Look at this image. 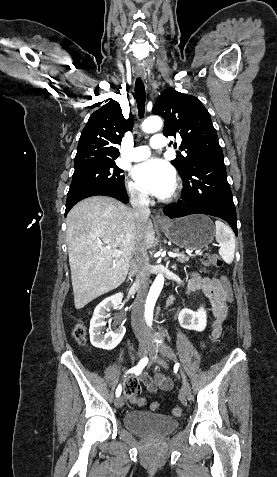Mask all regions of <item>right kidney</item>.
<instances>
[{"label": "right kidney", "instance_id": "ca27d5eb", "mask_svg": "<svg viewBox=\"0 0 277 477\" xmlns=\"http://www.w3.org/2000/svg\"><path fill=\"white\" fill-rule=\"evenodd\" d=\"M123 298L122 293H117L106 299L97 305L94 310L93 317L90 321V341L96 348L104 350L114 349L122 340L126 328L123 324H120L114 331H109L103 335L102 328L106 325L105 318L110 309L118 308Z\"/></svg>", "mask_w": 277, "mask_h": 477}]
</instances>
